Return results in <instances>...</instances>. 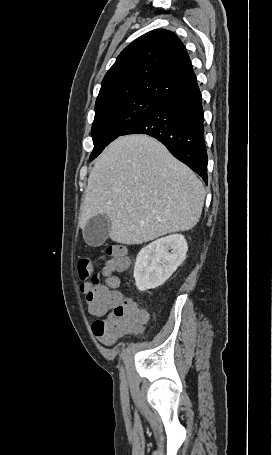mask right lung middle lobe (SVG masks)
<instances>
[{
	"label": "right lung middle lobe",
	"mask_w": 272,
	"mask_h": 455,
	"mask_svg": "<svg viewBox=\"0 0 272 455\" xmlns=\"http://www.w3.org/2000/svg\"><path fill=\"white\" fill-rule=\"evenodd\" d=\"M163 101L154 97L136 96L95 107L91 130L94 149L89 160L95 159L110 142L158 108Z\"/></svg>",
	"instance_id": "dd1d6c3e"
}]
</instances>
